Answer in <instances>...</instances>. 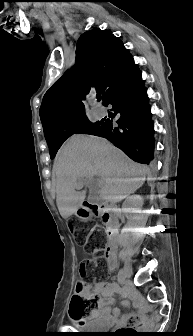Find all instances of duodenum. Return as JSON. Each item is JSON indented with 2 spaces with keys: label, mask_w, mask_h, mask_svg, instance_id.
<instances>
[{
  "label": "duodenum",
  "mask_w": 193,
  "mask_h": 336,
  "mask_svg": "<svg viewBox=\"0 0 193 336\" xmlns=\"http://www.w3.org/2000/svg\"><path fill=\"white\" fill-rule=\"evenodd\" d=\"M85 204L90 211H92L95 216L101 218L106 225L108 241L105 249V257L108 263H114L117 242L116 207L107 203Z\"/></svg>",
  "instance_id": "1"
}]
</instances>
